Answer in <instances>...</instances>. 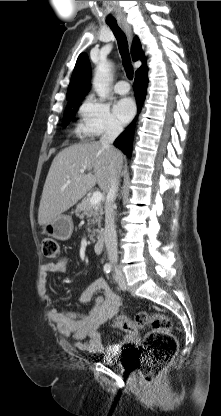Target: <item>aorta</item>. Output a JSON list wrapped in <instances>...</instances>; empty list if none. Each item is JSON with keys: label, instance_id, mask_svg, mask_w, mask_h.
<instances>
[{"label": "aorta", "instance_id": "obj_1", "mask_svg": "<svg viewBox=\"0 0 221 416\" xmlns=\"http://www.w3.org/2000/svg\"><path fill=\"white\" fill-rule=\"evenodd\" d=\"M111 67L112 65L109 62H100L95 70L93 88L101 99H105L108 95Z\"/></svg>", "mask_w": 221, "mask_h": 416}]
</instances>
